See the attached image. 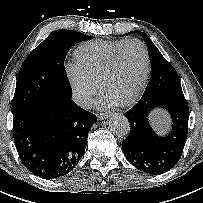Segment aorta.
I'll use <instances>...</instances> for the list:
<instances>
[{
  "label": "aorta",
  "mask_w": 203,
  "mask_h": 203,
  "mask_svg": "<svg viewBox=\"0 0 203 203\" xmlns=\"http://www.w3.org/2000/svg\"><path fill=\"white\" fill-rule=\"evenodd\" d=\"M109 127L111 132L118 137H124L130 132V123L128 119L120 114H115L110 118Z\"/></svg>",
  "instance_id": "obj_1"
}]
</instances>
